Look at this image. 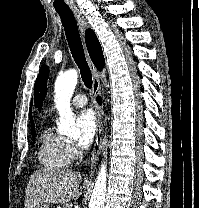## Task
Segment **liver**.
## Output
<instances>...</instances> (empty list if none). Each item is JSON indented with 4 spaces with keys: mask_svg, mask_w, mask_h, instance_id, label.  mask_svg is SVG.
Returning a JSON list of instances; mask_svg holds the SVG:
<instances>
[{
    "mask_svg": "<svg viewBox=\"0 0 199 208\" xmlns=\"http://www.w3.org/2000/svg\"><path fill=\"white\" fill-rule=\"evenodd\" d=\"M81 174L52 169L36 170L31 174L25 196V208L40 203H66L82 194Z\"/></svg>",
    "mask_w": 199,
    "mask_h": 208,
    "instance_id": "6515ba94",
    "label": "liver"
}]
</instances>
